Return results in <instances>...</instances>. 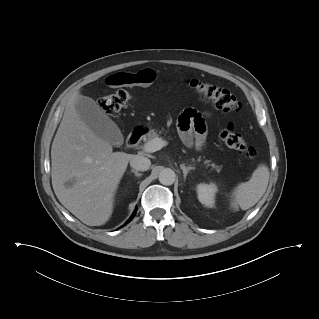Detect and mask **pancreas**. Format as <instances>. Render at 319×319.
<instances>
[{"label": "pancreas", "mask_w": 319, "mask_h": 319, "mask_svg": "<svg viewBox=\"0 0 319 319\" xmlns=\"http://www.w3.org/2000/svg\"><path fill=\"white\" fill-rule=\"evenodd\" d=\"M159 137V134L157 133V131L155 129H150L146 135L144 136V141L147 143L151 140H153L154 138ZM210 160H205L204 164L208 167L211 166L214 169H219L220 167L215 165L214 163H210Z\"/></svg>", "instance_id": "1"}]
</instances>
